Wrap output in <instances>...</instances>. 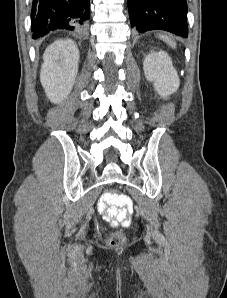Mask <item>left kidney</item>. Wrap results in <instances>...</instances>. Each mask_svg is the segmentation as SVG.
I'll return each instance as SVG.
<instances>
[{
	"mask_svg": "<svg viewBox=\"0 0 227 298\" xmlns=\"http://www.w3.org/2000/svg\"><path fill=\"white\" fill-rule=\"evenodd\" d=\"M143 70L146 79L153 82L161 97L167 98L179 88L178 74L165 51H151L144 59Z\"/></svg>",
	"mask_w": 227,
	"mask_h": 298,
	"instance_id": "left-kidney-1",
	"label": "left kidney"
}]
</instances>
